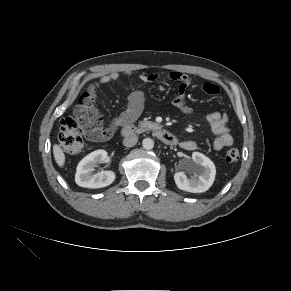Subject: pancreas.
I'll list each match as a JSON object with an SVG mask.
<instances>
[{
    "mask_svg": "<svg viewBox=\"0 0 291 291\" xmlns=\"http://www.w3.org/2000/svg\"><path fill=\"white\" fill-rule=\"evenodd\" d=\"M153 125H155V124L152 123L151 121H141V122L139 123V127H140L141 129H145V128H147V127H151V126H153Z\"/></svg>",
    "mask_w": 291,
    "mask_h": 291,
    "instance_id": "1",
    "label": "pancreas"
}]
</instances>
